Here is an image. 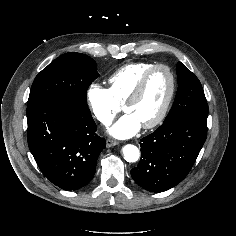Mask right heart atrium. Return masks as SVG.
<instances>
[{
	"label": "right heart atrium",
	"mask_w": 236,
	"mask_h": 236,
	"mask_svg": "<svg viewBox=\"0 0 236 236\" xmlns=\"http://www.w3.org/2000/svg\"><path fill=\"white\" fill-rule=\"evenodd\" d=\"M87 103L93 117L102 125L108 126L121 110L109 88L93 83L87 90Z\"/></svg>",
	"instance_id": "d8ad5b80"
}]
</instances>
